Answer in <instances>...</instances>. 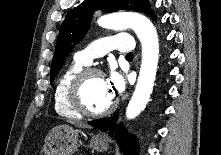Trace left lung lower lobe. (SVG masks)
Listing matches in <instances>:
<instances>
[{
  "instance_id": "1",
  "label": "left lung lower lobe",
  "mask_w": 221,
  "mask_h": 155,
  "mask_svg": "<svg viewBox=\"0 0 221 155\" xmlns=\"http://www.w3.org/2000/svg\"><path fill=\"white\" fill-rule=\"evenodd\" d=\"M151 17L154 19L153 14H151ZM117 119L118 115H115L109 118L90 121L89 124L103 132L109 131V135L115 137L119 147L127 155H136L138 150L134 138L126 131L122 124L116 126Z\"/></svg>"
}]
</instances>
